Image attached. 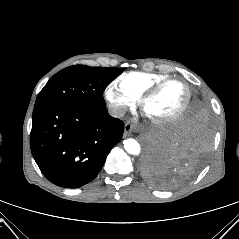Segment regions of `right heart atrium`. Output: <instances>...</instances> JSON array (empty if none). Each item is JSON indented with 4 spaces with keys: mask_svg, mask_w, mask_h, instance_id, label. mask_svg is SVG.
I'll list each match as a JSON object with an SVG mask.
<instances>
[{
    "mask_svg": "<svg viewBox=\"0 0 239 239\" xmlns=\"http://www.w3.org/2000/svg\"><path fill=\"white\" fill-rule=\"evenodd\" d=\"M104 95L112 113L116 116L122 115L136 101V98L124 91L116 81L106 86Z\"/></svg>",
    "mask_w": 239,
    "mask_h": 239,
    "instance_id": "right-heart-atrium-1",
    "label": "right heart atrium"
}]
</instances>
